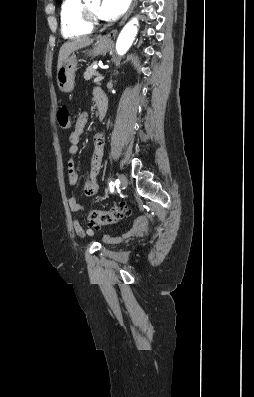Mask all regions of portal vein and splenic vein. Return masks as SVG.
Masks as SVG:
<instances>
[{
	"mask_svg": "<svg viewBox=\"0 0 254 397\" xmlns=\"http://www.w3.org/2000/svg\"><path fill=\"white\" fill-rule=\"evenodd\" d=\"M103 79H104L103 76L97 75V77L94 79V83H99V82L102 81Z\"/></svg>",
	"mask_w": 254,
	"mask_h": 397,
	"instance_id": "1",
	"label": "portal vein and splenic vein"
}]
</instances>
